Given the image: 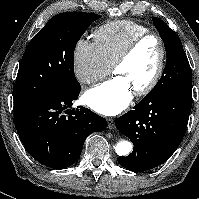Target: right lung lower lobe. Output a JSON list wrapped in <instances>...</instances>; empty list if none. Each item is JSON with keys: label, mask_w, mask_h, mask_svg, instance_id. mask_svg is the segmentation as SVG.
I'll return each instance as SVG.
<instances>
[{"label": "right lung lower lobe", "mask_w": 199, "mask_h": 199, "mask_svg": "<svg viewBox=\"0 0 199 199\" xmlns=\"http://www.w3.org/2000/svg\"><path fill=\"white\" fill-rule=\"evenodd\" d=\"M79 93L47 97L14 113L20 140L39 163L53 169L72 165L88 135L106 128V119L91 110L69 109Z\"/></svg>", "instance_id": "right-lung-lower-lobe-1"}]
</instances>
